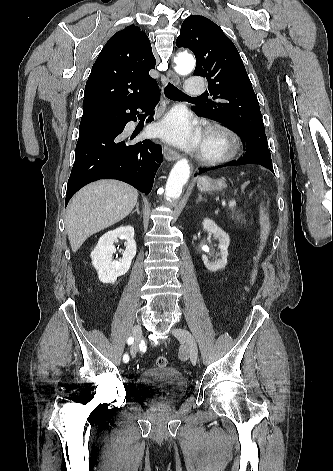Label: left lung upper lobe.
Here are the masks:
<instances>
[{
    "label": "left lung upper lobe",
    "mask_w": 333,
    "mask_h": 471,
    "mask_svg": "<svg viewBox=\"0 0 333 471\" xmlns=\"http://www.w3.org/2000/svg\"><path fill=\"white\" fill-rule=\"evenodd\" d=\"M178 48L193 51L194 75L207 79L208 91L216 100L192 107L201 117L220 122L238 133L246 150H268L257 97L243 61L222 29L211 20L191 15L182 24Z\"/></svg>",
    "instance_id": "5c2ea615"
}]
</instances>
